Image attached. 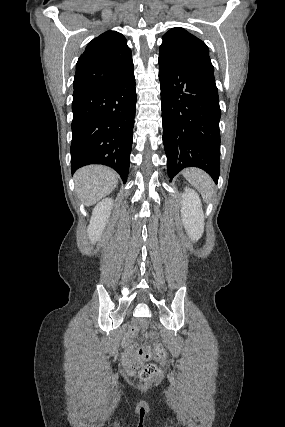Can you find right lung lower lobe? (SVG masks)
I'll list each match as a JSON object with an SVG mask.
<instances>
[{"mask_svg":"<svg viewBox=\"0 0 285 427\" xmlns=\"http://www.w3.org/2000/svg\"><path fill=\"white\" fill-rule=\"evenodd\" d=\"M71 171L90 164L129 172L136 111L135 77L73 95Z\"/></svg>","mask_w":285,"mask_h":427,"instance_id":"1","label":"right lung lower lobe"}]
</instances>
